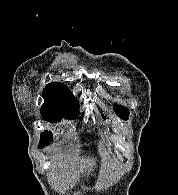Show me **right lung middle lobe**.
Returning <instances> with one entry per match:
<instances>
[{"mask_svg": "<svg viewBox=\"0 0 178 195\" xmlns=\"http://www.w3.org/2000/svg\"><path fill=\"white\" fill-rule=\"evenodd\" d=\"M41 116L44 120L50 122H59L62 118H67L70 120L76 119L78 117V106L75 107H61V106H42L40 110ZM52 141V133L50 131H44L41 133L40 143L38 145L39 149L45 147V145L50 144Z\"/></svg>", "mask_w": 178, "mask_h": 195, "instance_id": "dd1d6c3e", "label": "right lung middle lobe"}]
</instances>
